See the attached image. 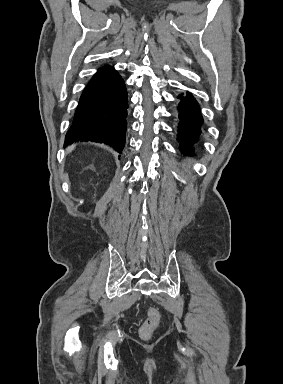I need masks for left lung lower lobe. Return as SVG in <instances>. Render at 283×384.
I'll list each match as a JSON object with an SVG mask.
<instances>
[{
	"label": "left lung lower lobe",
	"mask_w": 283,
	"mask_h": 384,
	"mask_svg": "<svg viewBox=\"0 0 283 384\" xmlns=\"http://www.w3.org/2000/svg\"><path fill=\"white\" fill-rule=\"evenodd\" d=\"M178 99L180 103L178 104L177 140L180 142L182 153L193 154L195 150L193 145L198 142L202 134L203 118L197 101L190 93L180 94Z\"/></svg>",
	"instance_id": "left-lung-lower-lobe-1"
}]
</instances>
